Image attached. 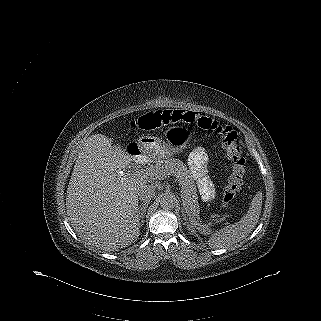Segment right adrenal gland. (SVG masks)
Listing matches in <instances>:
<instances>
[{"label":"right adrenal gland","instance_id":"obj_1","mask_svg":"<svg viewBox=\"0 0 321 321\" xmlns=\"http://www.w3.org/2000/svg\"><path fill=\"white\" fill-rule=\"evenodd\" d=\"M148 202H144V204H141L139 206V216H140V219H141V225L144 224V217H145V212H146V209L148 207Z\"/></svg>","mask_w":321,"mask_h":321}]
</instances>
